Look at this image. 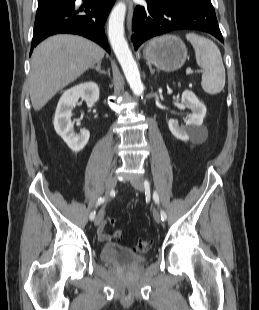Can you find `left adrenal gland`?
Listing matches in <instances>:
<instances>
[{
  "mask_svg": "<svg viewBox=\"0 0 259 310\" xmlns=\"http://www.w3.org/2000/svg\"><path fill=\"white\" fill-rule=\"evenodd\" d=\"M149 70H150L151 75L154 74L155 70L152 69L151 65H149Z\"/></svg>",
  "mask_w": 259,
  "mask_h": 310,
  "instance_id": "1",
  "label": "left adrenal gland"
}]
</instances>
